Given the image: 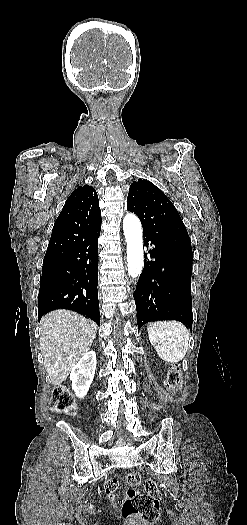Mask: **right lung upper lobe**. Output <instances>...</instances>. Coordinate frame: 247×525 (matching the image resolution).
Listing matches in <instances>:
<instances>
[{
  "instance_id": "obj_1",
  "label": "right lung upper lobe",
  "mask_w": 247,
  "mask_h": 525,
  "mask_svg": "<svg viewBox=\"0 0 247 525\" xmlns=\"http://www.w3.org/2000/svg\"><path fill=\"white\" fill-rule=\"evenodd\" d=\"M98 195L91 186L75 189L56 219L44 258L70 251L101 231Z\"/></svg>"
}]
</instances>
